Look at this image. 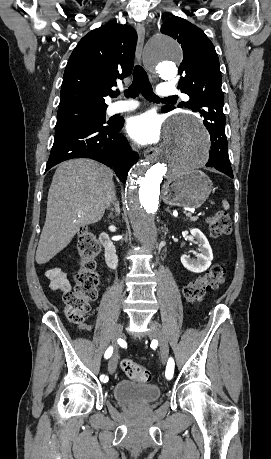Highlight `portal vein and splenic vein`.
Listing matches in <instances>:
<instances>
[{
	"instance_id": "portal-vein-and-splenic-vein-1",
	"label": "portal vein and splenic vein",
	"mask_w": 271,
	"mask_h": 459,
	"mask_svg": "<svg viewBox=\"0 0 271 459\" xmlns=\"http://www.w3.org/2000/svg\"><path fill=\"white\" fill-rule=\"evenodd\" d=\"M185 214H186V217H191L192 216L191 215L192 213L190 211L189 212L187 211Z\"/></svg>"
}]
</instances>
